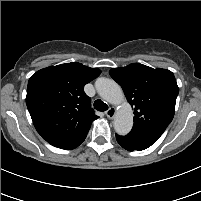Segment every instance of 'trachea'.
<instances>
[{"label":"trachea","instance_id":"1","mask_svg":"<svg viewBox=\"0 0 201 201\" xmlns=\"http://www.w3.org/2000/svg\"><path fill=\"white\" fill-rule=\"evenodd\" d=\"M94 108L98 111H106L108 110V105L104 103L103 101H101L100 99H97L94 102Z\"/></svg>","mask_w":201,"mask_h":201}]
</instances>
